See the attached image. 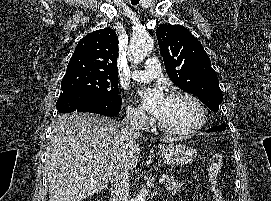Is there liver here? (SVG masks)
Here are the masks:
<instances>
[{
	"instance_id": "liver-1",
	"label": "liver",
	"mask_w": 271,
	"mask_h": 201,
	"mask_svg": "<svg viewBox=\"0 0 271 201\" xmlns=\"http://www.w3.org/2000/svg\"><path fill=\"white\" fill-rule=\"evenodd\" d=\"M135 140L122 138L120 123L109 117L58 115L47 146L49 201H82L104 190L122 163L129 169L137 166L140 148Z\"/></svg>"
}]
</instances>
